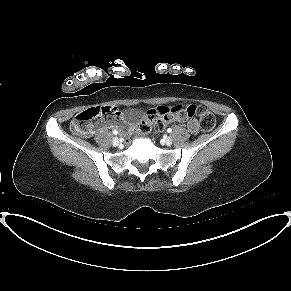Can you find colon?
I'll use <instances>...</instances> for the list:
<instances>
[{"label": "colon", "mask_w": 291, "mask_h": 291, "mask_svg": "<svg viewBox=\"0 0 291 291\" xmlns=\"http://www.w3.org/2000/svg\"><path fill=\"white\" fill-rule=\"evenodd\" d=\"M185 113L187 116H197L203 130L210 131L215 126V117L204 105L161 106L152 110L146 120L137 127V133L147 134L152 128L161 131L176 115ZM120 112L113 106H93L78 113L71 122V130L81 136H89L95 127L117 119Z\"/></svg>", "instance_id": "1"}]
</instances>
